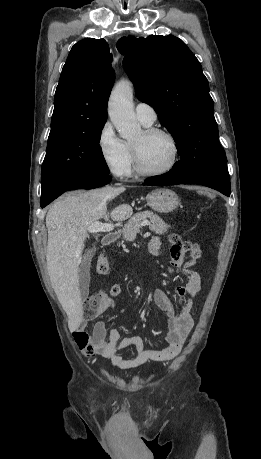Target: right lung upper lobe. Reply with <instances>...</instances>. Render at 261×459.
Wrapping results in <instances>:
<instances>
[{
	"mask_svg": "<svg viewBox=\"0 0 261 459\" xmlns=\"http://www.w3.org/2000/svg\"><path fill=\"white\" fill-rule=\"evenodd\" d=\"M111 61L103 39H84L72 47L56 88L49 136L106 122L107 101L115 80Z\"/></svg>",
	"mask_w": 261,
	"mask_h": 459,
	"instance_id": "1",
	"label": "right lung upper lobe"
}]
</instances>
